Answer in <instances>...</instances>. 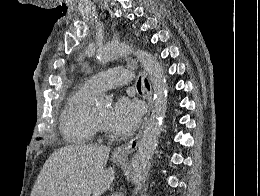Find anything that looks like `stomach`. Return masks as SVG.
Segmentation results:
<instances>
[{
  "mask_svg": "<svg viewBox=\"0 0 260 196\" xmlns=\"http://www.w3.org/2000/svg\"><path fill=\"white\" fill-rule=\"evenodd\" d=\"M112 160L115 164H124V162H126V160H114V158H112Z\"/></svg>",
  "mask_w": 260,
  "mask_h": 196,
  "instance_id": "obj_1",
  "label": "stomach"
}]
</instances>
